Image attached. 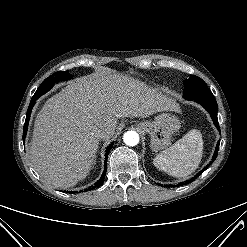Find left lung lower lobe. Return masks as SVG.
<instances>
[{
  "mask_svg": "<svg viewBox=\"0 0 247 247\" xmlns=\"http://www.w3.org/2000/svg\"><path fill=\"white\" fill-rule=\"evenodd\" d=\"M187 100H194L195 102H198L199 104H201L208 111V113L211 115V117L213 119V122L216 125V127H219L218 118H217V102H216L214 97H210V98H194V99H187ZM219 131H220V129H219ZM219 145H220V141H218V143H217V146H216V149H215V152H214V155L212 157V161L211 162H213L217 157L218 150H219ZM211 162H210V164H211ZM210 164H208L206 166V168H208L210 166ZM204 170H202V171H204ZM202 171L199 172L197 175H195L193 177V179H195L196 177L200 176ZM193 179L186 181V183L191 182Z\"/></svg>",
  "mask_w": 247,
  "mask_h": 247,
  "instance_id": "obj_1",
  "label": "left lung lower lobe"
}]
</instances>
